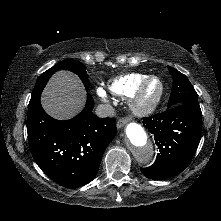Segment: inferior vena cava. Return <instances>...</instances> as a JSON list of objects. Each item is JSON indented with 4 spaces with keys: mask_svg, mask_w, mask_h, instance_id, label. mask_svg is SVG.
<instances>
[{
    "mask_svg": "<svg viewBox=\"0 0 221 221\" xmlns=\"http://www.w3.org/2000/svg\"><path fill=\"white\" fill-rule=\"evenodd\" d=\"M114 113L115 110L110 104H100L95 110V114L100 118L113 117Z\"/></svg>",
    "mask_w": 221,
    "mask_h": 221,
    "instance_id": "602c4592",
    "label": "inferior vena cava"
}]
</instances>
